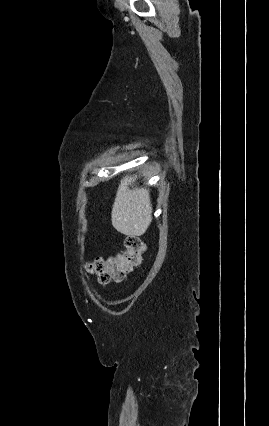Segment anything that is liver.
<instances>
[{
    "label": "liver",
    "instance_id": "liver-1",
    "mask_svg": "<svg viewBox=\"0 0 269 426\" xmlns=\"http://www.w3.org/2000/svg\"><path fill=\"white\" fill-rule=\"evenodd\" d=\"M136 179L137 175L123 177L111 213L113 227L127 236L143 235L152 221L149 189L133 188Z\"/></svg>",
    "mask_w": 269,
    "mask_h": 426
}]
</instances>
